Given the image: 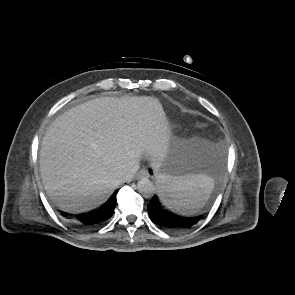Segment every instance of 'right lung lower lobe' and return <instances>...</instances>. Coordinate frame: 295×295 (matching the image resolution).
Instances as JSON below:
<instances>
[{
  "instance_id": "obj_1",
  "label": "right lung lower lobe",
  "mask_w": 295,
  "mask_h": 295,
  "mask_svg": "<svg viewBox=\"0 0 295 295\" xmlns=\"http://www.w3.org/2000/svg\"><path fill=\"white\" fill-rule=\"evenodd\" d=\"M116 193L109 198V200L95 212L78 217V220L86 227L97 226L108 220L114 212L116 205Z\"/></svg>"
}]
</instances>
